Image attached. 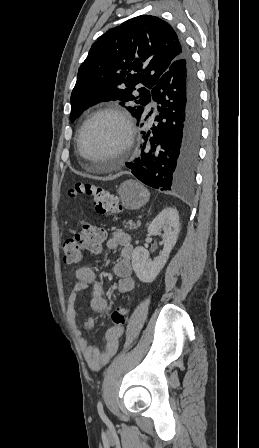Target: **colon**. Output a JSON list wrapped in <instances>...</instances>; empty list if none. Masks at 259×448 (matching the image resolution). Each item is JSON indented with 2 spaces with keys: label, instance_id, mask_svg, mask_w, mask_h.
Segmentation results:
<instances>
[{
  "label": "colon",
  "instance_id": "5ec220e1",
  "mask_svg": "<svg viewBox=\"0 0 259 448\" xmlns=\"http://www.w3.org/2000/svg\"><path fill=\"white\" fill-rule=\"evenodd\" d=\"M84 194L93 199L96 211L101 214H117L122 211L118 198L108 189L90 182H78L69 190L70 196ZM105 232L91 222H82L78 233L74 237L63 241V259L66 263H79L84 257L85 251L95 252L103 240ZM128 309L126 306H118L110 315L111 327H123Z\"/></svg>",
  "mask_w": 259,
  "mask_h": 448
}]
</instances>
